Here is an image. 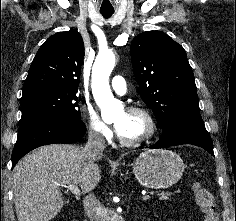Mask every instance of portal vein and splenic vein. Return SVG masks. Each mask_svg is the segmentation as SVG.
I'll use <instances>...</instances> for the list:
<instances>
[{"label": "portal vein and splenic vein", "mask_w": 236, "mask_h": 221, "mask_svg": "<svg viewBox=\"0 0 236 221\" xmlns=\"http://www.w3.org/2000/svg\"><path fill=\"white\" fill-rule=\"evenodd\" d=\"M61 186L68 188L76 196H80V194H81L80 189L76 185H61ZM142 199L148 200V199H150V195H145L142 197Z\"/></svg>", "instance_id": "1"}]
</instances>
